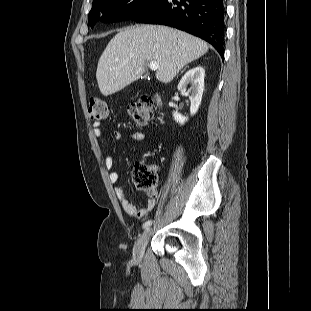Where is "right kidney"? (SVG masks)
Listing matches in <instances>:
<instances>
[{
  "label": "right kidney",
  "instance_id": "right-kidney-1",
  "mask_svg": "<svg viewBox=\"0 0 311 311\" xmlns=\"http://www.w3.org/2000/svg\"><path fill=\"white\" fill-rule=\"evenodd\" d=\"M204 77L205 70L201 66L194 67L185 73L178 84L179 90H184L188 84H191L190 88V113L191 115L196 114L201 104L202 95L204 91ZM174 120L183 125L187 121V117L180 114L178 111L173 112Z\"/></svg>",
  "mask_w": 311,
  "mask_h": 311
}]
</instances>
